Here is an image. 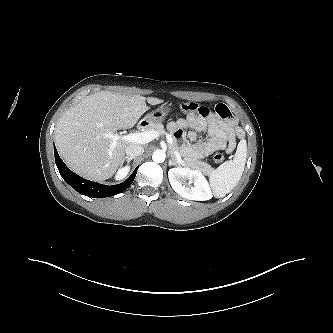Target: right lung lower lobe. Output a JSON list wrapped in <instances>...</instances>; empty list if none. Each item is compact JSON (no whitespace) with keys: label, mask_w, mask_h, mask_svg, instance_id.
Segmentation results:
<instances>
[{"label":"right lung lower lobe","mask_w":333,"mask_h":333,"mask_svg":"<svg viewBox=\"0 0 333 333\" xmlns=\"http://www.w3.org/2000/svg\"><path fill=\"white\" fill-rule=\"evenodd\" d=\"M54 155L57 168L63 179L78 193L88 197L104 198L121 193L131 185L138 170L137 167L132 173V175L121 184L113 186L102 185L96 182L86 180L69 170L68 167L64 164V162L60 159L56 148H54Z\"/></svg>","instance_id":"right-lung-lower-lobe-1"}]
</instances>
